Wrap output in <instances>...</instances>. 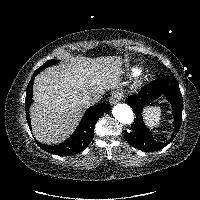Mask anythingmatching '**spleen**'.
Returning a JSON list of instances; mask_svg holds the SVG:
<instances>
[{"label": "spleen", "mask_w": 200, "mask_h": 200, "mask_svg": "<svg viewBox=\"0 0 200 200\" xmlns=\"http://www.w3.org/2000/svg\"><path fill=\"white\" fill-rule=\"evenodd\" d=\"M145 123L150 127H158L161 119V109L159 106H148L143 110Z\"/></svg>", "instance_id": "obj_1"}]
</instances>
